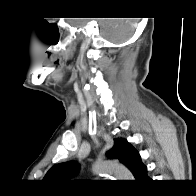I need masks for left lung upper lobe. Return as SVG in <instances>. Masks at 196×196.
<instances>
[{
    "instance_id": "left-lung-upper-lobe-1",
    "label": "left lung upper lobe",
    "mask_w": 196,
    "mask_h": 196,
    "mask_svg": "<svg viewBox=\"0 0 196 196\" xmlns=\"http://www.w3.org/2000/svg\"><path fill=\"white\" fill-rule=\"evenodd\" d=\"M139 153L125 139H114V146L107 152V157L118 159L132 173L137 165ZM79 165L69 161L54 165L45 175L46 182L65 181L78 172Z\"/></svg>"
}]
</instances>
